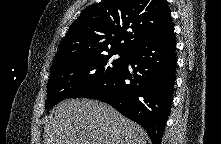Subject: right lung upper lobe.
Returning <instances> with one entry per match:
<instances>
[{
	"label": "right lung upper lobe",
	"instance_id": "right-lung-upper-lobe-1",
	"mask_svg": "<svg viewBox=\"0 0 221 144\" xmlns=\"http://www.w3.org/2000/svg\"><path fill=\"white\" fill-rule=\"evenodd\" d=\"M171 25L166 0H102L71 24L51 67L105 52L127 54Z\"/></svg>",
	"mask_w": 221,
	"mask_h": 144
}]
</instances>
